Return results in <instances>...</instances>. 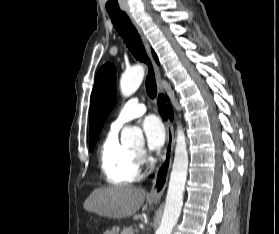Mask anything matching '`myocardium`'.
I'll use <instances>...</instances> for the list:
<instances>
[{"mask_svg":"<svg viewBox=\"0 0 279 234\" xmlns=\"http://www.w3.org/2000/svg\"><path fill=\"white\" fill-rule=\"evenodd\" d=\"M136 155H137V156L139 155V151L136 152Z\"/></svg>","mask_w":279,"mask_h":234,"instance_id":"obj_1","label":"myocardium"}]
</instances>
